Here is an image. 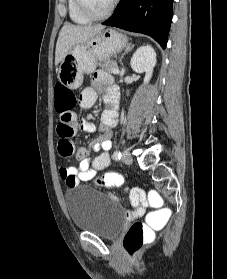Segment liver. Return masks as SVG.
Wrapping results in <instances>:
<instances>
[{"label":"liver","instance_id":"1","mask_svg":"<svg viewBox=\"0 0 227 279\" xmlns=\"http://www.w3.org/2000/svg\"><path fill=\"white\" fill-rule=\"evenodd\" d=\"M104 29L102 25H71L65 24L56 43L55 65L57 66L64 59L68 51L76 44L87 41Z\"/></svg>","mask_w":227,"mask_h":279}]
</instances>
